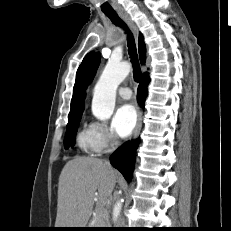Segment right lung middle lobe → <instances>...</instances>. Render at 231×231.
I'll return each instance as SVG.
<instances>
[{
  "instance_id": "1",
  "label": "right lung middle lobe",
  "mask_w": 231,
  "mask_h": 231,
  "mask_svg": "<svg viewBox=\"0 0 231 231\" xmlns=\"http://www.w3.org/2000/svg\"><path fill=\"white\" fill-rule=\"evenodd\" d=\"M81 115H76L68 118V124L66 127V135L64 140L65 148L73 146L75 144L76 132L81 120Z\"/></svg>"
}]
</instances>
